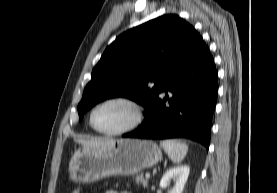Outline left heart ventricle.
<instances>
[{
  "label": "left heart ventricle",
  "mask_w": 277,
  "mask_h": 193,
  "mask_svg": "<svg viewBox=\"0 0 277 193\" xmlns=\"http://www.w3.org/2000/svg\"><path fill=\"white\" fill-rule=\"evenodd\" d=\"M135 113L131 106L112 102L100 106L94 113L93 121L97 128L104 131H115L128 126Z\"/></svg>",
  "instance_id": "1"
}]
</instances>
